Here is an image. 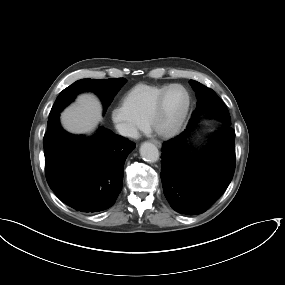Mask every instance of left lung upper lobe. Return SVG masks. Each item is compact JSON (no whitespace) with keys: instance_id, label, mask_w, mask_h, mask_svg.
<instances>
[{"instance_id":"5c2ea615","label":"left lung upper lobe","mask_w":285,"mask_h":285,"mask_svg":"<svg viewBox=\"0 0 285 285\" xmlns=\"http://www.w3.org/2000/svg\"><path fill=\"white\" fill-rule=\"evenodd\" d=\"M190 84L196 92L198 101H197V107L192 114V118L190 120L189 125L193 124L198 114L204 111L208 112L211 118H219L226 123L231 122L225 104L221 109L220 108L216 109L215 107H213V104L218 105L216 101L222 102V100L216 95V93L212 89L194 80H190Z\"/></svg>"}]
</instances>
